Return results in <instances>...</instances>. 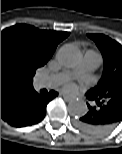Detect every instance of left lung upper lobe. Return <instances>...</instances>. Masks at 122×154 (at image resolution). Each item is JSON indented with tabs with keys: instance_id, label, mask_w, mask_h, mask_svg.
I'll return each instance as SVG.
<instances>
[{
	"instance_id": "left-lung-upper-lobe-1",
	"label": "left lung upper lobe",
	"mask_w": 122,
	"mask_h": 154,
	"mask_svg": "<svg viewBox=\"0 0 122 154\" xmlns=\"http://www.w3.org/2000/svg\"><path fill=\"white\" fill-rule=\"evenodd\" d=\"M95 41L104 58V70L98 84L87 94L96 97H109L122 90V46L103 34H87Z\"/></svg>"
}]
</instances>
